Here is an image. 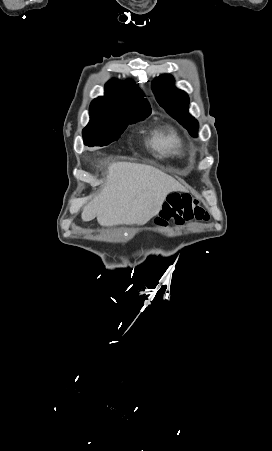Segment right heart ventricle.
Returning <instances> with one entry per match:
<instances>
[{
    "label": "right heart ventricle",
    "instance_id": "1",
    "mask_svg": "<svg viewBox=\"0 0 272 451\" xmlns=\"http://www.w3.org/2000/svg\"><path fill=\"white\" fill-rule=\"evenodd\" d=\"M155 146L163 152H170L176 150L179 141L177 136L170 132L166 135H157L154 139Z\"/></svg>",
    "mask_w": 272,
    "mask_h": 451
}]
</instances>
